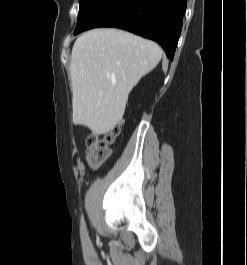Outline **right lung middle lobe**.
Masks as SVG:
<instances>
[{"instance_id": "dd1d6c3e", "label": "right lung middle lobe", "mask_w": 247, "mask_h": 265, "mask_svg": "<svg viewBox=\"0 0 247 265\" xmlns=\"http://www.w3.org/2000/svg\"><path fill=\"white\" fill-rule=\"evenodd\" d=\"M99 0H80L79 4V13L77 24L81 22V20L86 16V14L91 10V8L98 2Z\"/></svg>"}]
</instances>
